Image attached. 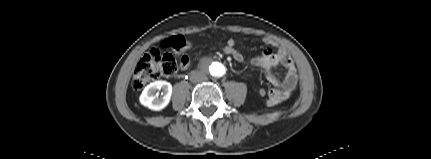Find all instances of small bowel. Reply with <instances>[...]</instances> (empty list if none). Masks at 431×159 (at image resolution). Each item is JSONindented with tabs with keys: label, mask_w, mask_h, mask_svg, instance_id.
Segmentation results:
<instances>
[{
	"label": "small bowel",
	"mask_w": 431,
	"mask_h": 159,
	"mask_svg": "<svg viewBox=\"0 0 431 159\" xmlns=\"http://www.w3.org/2000/svg\"><path fill=\"white\" fill-rule=\"evenodd\" d=\"M263 42L268 46V48H266L260 56L251 58L249 60V64L264 70L267 79L277 86V88L270 89L268 92L266 91L267 94L264 97L267 98L268 105L271 107H279L295 90L298 80L297 73L294 62L283 49L274 50L273 48L275 47V43L270 38H264ZM213 45H216L218 51L224 50L227 52L230 50V47L238 50L234 39L228 40L227 44L224 45L217 44V42H213ZM230 56L238 62H245L244 56L241 53H233ZM189 66V58L187 56H183L180 63L181 70L185 71ZM278 66H283L285 68V75L282 80H279L273 72Z\"/></svg>",
	"instance_id": "obj_1"
}]
</instances>
